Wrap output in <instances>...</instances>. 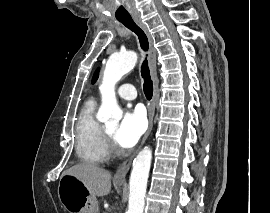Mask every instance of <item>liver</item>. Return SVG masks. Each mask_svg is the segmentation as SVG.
<instances>
[{"label":"liver","instance_id":"liver-1","mask_svg":"<svg viewBox=\"0 0 270 213\" xmlns=\"http://www.w3.org/2000/svg\"><path fill=\"white\" fill-rule=\"evenodd\" d=\"M63 175H72L81 180L92 196H106L111 190L109 171L90 163H80L64 171Z\"/></svg>","mask_w":270,"mask_h":213}]
</instances>
